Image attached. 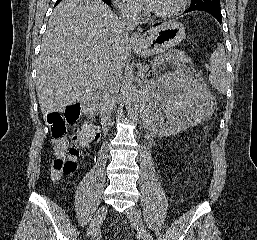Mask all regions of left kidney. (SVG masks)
Returning a JSON list of instances; mask_svg holds the SVG:
<instances>
[{
    "label": "left kidney",
    "instance_id": "5707ae66",
    "mask_svg": "<svg viewBox=\"0 0 257 240\" xmlns=\"http://www.w3.org/2000/svg\"><path fill=\"white\" fill-rule=\"evenodd\" d=\"M208 96L188 73L174 71L150 80L143 92L149 129L170 136L195 126L206 117Z\"/></svg>",
    "mask_w": 257,
    "mask_h": 240
}]
</instances>
